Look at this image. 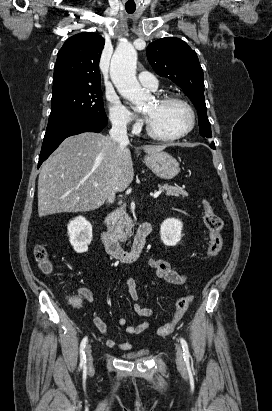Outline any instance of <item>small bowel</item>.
Segmentation results:
<instances>
[{
  "label": "small bowel",
  "mask_w": 272,
  "mask_h": 411,
  "mask_svg": "<svg viewBox=\"0 0 272 411\" xmlns=\"http://www.w3.org/2000/svg\"><path fill=\"white\" fill-rule=\"evenodd\" d=\"M143 267L150 269L154 272L157 278L164 280L168 283L174 285L184 286L188 292V296L193 299V296L189 292V284L187 281V276L183 273L178 272L168 261L162 258L157 259H148L142 264ZM126 285L129 291V295L133 301H135L133 310L137 316L140 317H151L153 315V309L145 307L139 303V293L136 287V281L132 276L126 278ZM91 301V298H88ZM92 320L99 331L97 336L98 340L105 341L106 345L110 348H118L123 351L130 350L133 347V342L131 341H122L118 342L114 339H111L107 335V324L105 321L98 315L96 311H93ZM118 324L124 326L127 324V319L125 317H120L118 319ZM151 324L148 321L142 322L140 324L128 325L126 331L132 335H139L145 332L150 328Z\"/></svg>",
  "instance_id": "obj_1"
}]
</instances>
